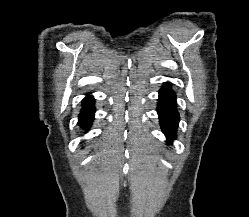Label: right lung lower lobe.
<instances>
[{
  "label": "right lung lower lobe",
  "instance_id": "obj_1",
  "mask_svg": "<svg viewBox=\"0 0 249 217\" xmlns=\"http://www.w3.org/2000/svg\"><path fill=\"white\" fill-rule=\"evenodd\" d=\"M93 102H94V99L92 98V96H87L83 100V104H82L83 108L79 115V125L82 128L88 129L93 121L94 112H95Z\"/></svg>",
  "mask_w": 249,
  "mask_h": 217
}]
</instances>
